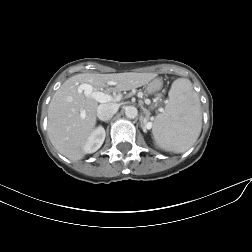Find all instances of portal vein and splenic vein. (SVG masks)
Listing matches in <instances>:
<instances>
[{
	"mask_svg": "<svg viewBox=\"0 0 252 252\" xmlns=\"http://www.w3.org/2000/svg\"><path fill=\"white\" fill-rule=\"evenodd\" d=\"M78 91L84 92L86 96H91L97 102H100V103H106V102H110L113 100V97L111 95L105 94L100 91H96V90H94L92 85L87 84V83L80 84L78 87ZM120 99H121V96H117L115 101H120ZM81 116L84 117V114H82ZM149 125L151 127V124H149Z\"/></svg>",
	"mask_w": 252,
	"mask_h": 252,
	"instance_id": "1",
	"label": "portal vein and splenic vein"
}]
</instances>
